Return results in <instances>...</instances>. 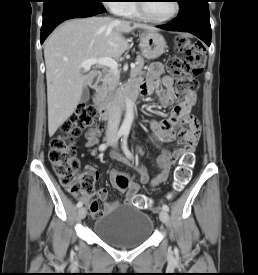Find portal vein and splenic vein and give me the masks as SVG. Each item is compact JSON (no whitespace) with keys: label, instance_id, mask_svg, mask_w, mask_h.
<instances>
[{"label":"portal vein and splenic vein","instance_id":"obj_1","mask_svg":"<svg viewBox=\"0 0 258 275\" xmlns=\"http://www.w3.org/2000/svg\"><path fill=\"white\" fill-rule=\"evenodd\" d=\"M97 64L109 67L112 73L115 75L118 73V63L110 57H101L98 59L97 58L87 59L81 63V68H83L84 71H89L92 65H97ZM130 66L131 68H134L135 64L132 63Z\"/></svg>","mask_w":258,"mask_h":275}]
</instances>
